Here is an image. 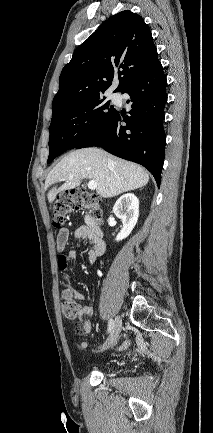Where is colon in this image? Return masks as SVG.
<instances>
[{"instance_id": "5ec220e1", "label": "colon", "mask_w": 213, "mask_h": 433, "mask_svg": "<svg viewBox=\"0 0 213 433\" xmlns=\"http://www.w3.org/2000/svg\"><path fill=\"white\" fill-rule=\"evenodd\" d=\"M75 210H84L94 219L100 220L101 201L97 195L80 188L62 193L53 206V225L63 226L69 215ZM58 263L61 268L66 267L65 256H61ZM76 298V291L72 288H67L62 292L61 310L70 321L77 320L80 315L81 308Z\"/></svg>"}]
</instances>
